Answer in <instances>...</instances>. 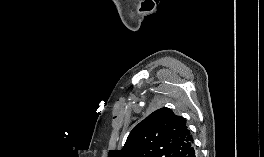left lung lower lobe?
<instances>
[{
  "mask_svg": "<svg viewBox=\"0 0 264 157\" xmlns=\"http://www.w3.org/2000/svg\"><path fill=\"white\" fill-rule=\"evenodd\" d=\"M187 157H197L194 146H192V148L190 149Z\"/></svg>",
  "mask_w": 264,
  "mask_h": 157,
  "instance_id": "left-lung-lower-lobe-1",
  "label": "left lung lower lobe"
}]
</instances>
